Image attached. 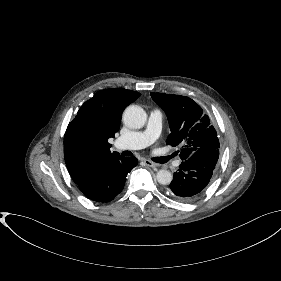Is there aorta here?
Returning a JSON list of instances; mask_svg holds the SVG:
<instances>
[{
  "mask_svg": "<svg viewBox=\"0 0 281 281\" xmlns=\"http://www.w3.org/2000/svg\"><path fill=\"white\" fill-rule=\"evenodd\" d=\"M147 120L146 112L137 105L128 106L123 113L124 124L131 129H140ZM158 183L168 185L171 183L173 176L170 171L161 169L156 174Z\"/></svg>",
  "mask_w": 281,
  "mask_h": 281,
  "instance_id": "762f6f07",
  "label": "aorta"
}]
</instances>
